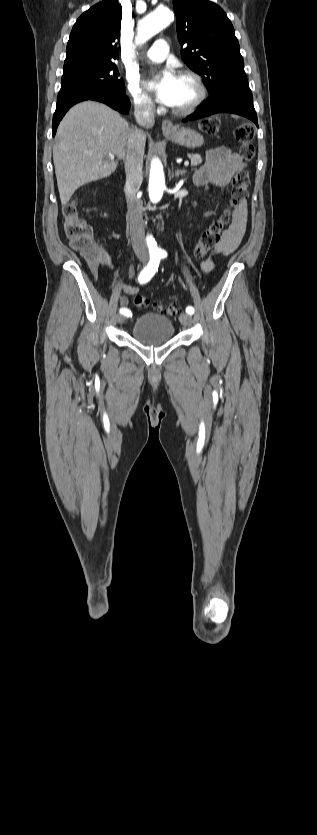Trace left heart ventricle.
I'll list each match as a JSON object with an SVG mask.
<instances>
[{
    "label": "left heart ventricle",
    "instance_id": "1",
    "mask_svg": "<svg viewBox=\"0 0 317 835\" xmlns=\"http://www.w3.org/2000/svg\"><path fill=\"white\" fill-rule=\"evenodd\" d=\"M195 96V88L193 84L186 79L178 77L177 92L173 107H184L191 102Z\"/></svg>",
    "mask_w": 317,
    "mask_h": 835
}]
</instances>
